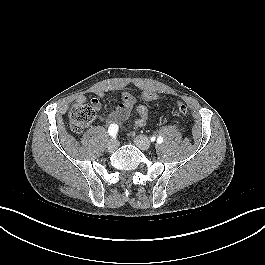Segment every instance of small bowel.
<instances>
[{
  "label": "small bowel",
  "instance_id": "obj_1",
  "mask_svg": "<svg viewBox=\"0 0 265 265\" xmlns=\"http://www.w3.org/2000/svg\"><path fill=\"white\" fill-rule=\"evenodd\" d=\"M99 96H101V93H99ZM77 101L84 102L85 97L79 96L77 98ZM92 101L96 104L97 108L100 106V102L98 99H93ZM135 104H136L135 97L130 92H123L120 104L115 110L111 111L105 117V121L108 124L121 123L129 115L131 110L134 108ZM136 113H137V118L135 119V125L137 127L144 126L148 120V108L143 104L138 105L136 107Z\"/></svg>",
  "mask_w": 265,
  "mask_h": 265
}]
</instances>
